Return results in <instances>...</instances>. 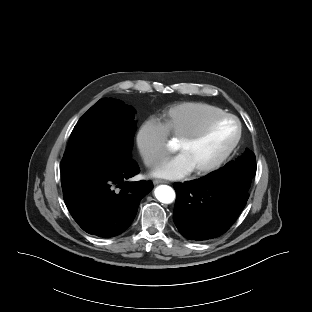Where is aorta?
Instances as JSON below:
<instances>
[{"mask_svg":"<svg viewBox=\"0 0 312 312\" xmlns=\"http://www.w3.org/2000/svg\"><path fill=\"white\" fill-rule=\"evenodd\" d=\"M154 194L158 201L165 204H170L175 200V191L167 185L158 186Z\"/></svg>","mask_w":312,"mask_h":312,"instance_id":"aorta-1","label":"aorta"}]
</instances>
